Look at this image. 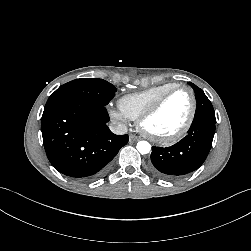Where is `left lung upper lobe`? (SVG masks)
Wrapping results in <instances>:
<instances>
[{
	"label": "left lung upper lobe",
	"instance_id": "5c2ea615",
	"mask_svg": "<svg viewBox=\"0 0 251 251\" xmlns=\"http://www.w3.org/2000/svg\"><path fill=\"white\" fill-rule=\"evenodd\" d=\"M190 85L195 90V93H196L197 107H196L195 116H198L201 114L215 115L213 106L210 100L207 98V96L203 92V90L198 88L193 83H190Z\"/></svg>",
	"mask_w": 251,
	"mask_h": 251
}]
</instances>
